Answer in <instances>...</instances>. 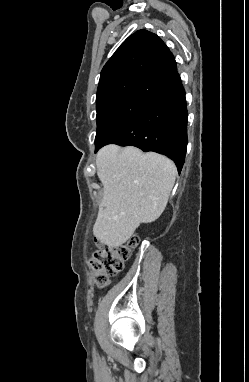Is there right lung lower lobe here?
<instances>
[{
    "label": "right lung lower lobe",
    "instance_id": "obj_1",
    "mask_svg": "<svg viewBox=\"0 0 249 382\" xmlns=\"http://www.w3.org/2000/svg\"><path fill=\"white\" fill-rule=\"evenodd\" d=\"M187 143L185 91L179 79L152 99L126 128L102 146L131 145L143 151L164 154L175 162L180 173ZM101 147L96 148L95 152Z\"/></svg>",
    "mask_w": 249,
    "mask_h": 382
}]
</instances>
